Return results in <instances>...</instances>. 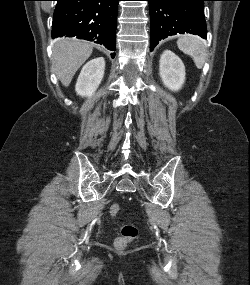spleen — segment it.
I'll return each instance as SVG.
<instances>
[{
    "label": "spleen",
    "instance_id": "1",
    "mask_svg": "<svg viewBox=\"0 0 250 285\" xmlns=\"http://www.w3.org/2000/svg\"><path fill=\"white\" fill-rule=\"evenodd\" d=\"M177 45L182 52L192 57L198 69H202L207 57V48L201 38L195 35H184L178 39Z\"/></svg>",
    "mask_w": 250,
    "mask_h": 285
}]
</instances>
